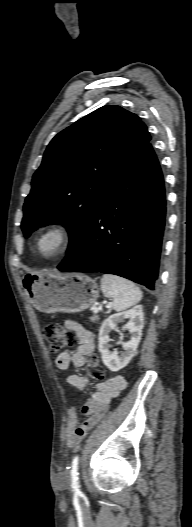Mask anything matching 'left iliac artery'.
Here are the masks:
<instances>
[{
  "instance_id": "44dca946",
  "label": "left iliac artery",
  "mask_w": 192,
  "mask_h": 527,
  "mask_svg": "<svg viewBox=\"0 0 192 527\" xmlns=\"http://www.w3.org/2000/svg\"><path fill=\"white\" fill-rule=\"evenodd\" d=\"M78 462H79V458L78 456H75L72 461L71 482H72L73 489L76 491H78L80 487L79 478H78Z\"/></svg>"
}]
</instances>
